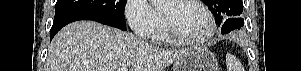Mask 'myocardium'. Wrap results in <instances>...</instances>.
Masks as SVG:
<instances>
[{"mask_svg": "<svg viewBox=\"0 0 301 71\" xmlns=\"http://www.w3.org/2000/svg\"><path fill=\"white\" fill-rule=\"evenodd\" d=\"M179 2H190L192 4H195L196 6L200 7L204 13L206 14L208 21H209V30L208 33L201 39H188L183 37L172 25L168 17L162 12L163 16V22H164V28L167 33V35L170 37V39L176 43H179L181 45L185 46H202L207 44L212 38L214 37L217 29L216 20L212 14V12L209 10V8L202 2L198 0H174Z\"/></svg>", "mask_w": 301, "mask_h": 71, "instance_id": "myocardium-1", "label": "myocardium"}]
</instances>
